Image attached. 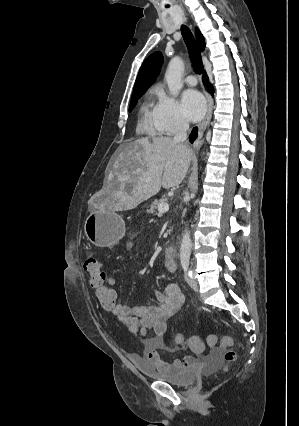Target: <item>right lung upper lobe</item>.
Instances as JSON below:
<instances>
[{"mask_svg":"<svg viewBox=\"0 0 299 426\" xmlns=\"http://www.w3.org/2000/svg\"><path fill=\"white\" fill-rule=\"evenodd\" d=\"M196 38L201 50H203L205 48V41L198 28H196ZM162 63L163 56L160 52H154L143 62L134 85L133 93L146 91L155 82Z\"/></svg>","mask_w":299,"mask_h":426,"instance_id":"cb5924a9","label":"right lung upper lobe"}]
</instances>
